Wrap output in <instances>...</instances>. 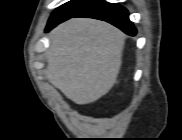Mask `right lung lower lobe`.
I'll use <instances>...</instances> for the list:
<instances>
[{"label":"right lung lower lobe","instance_id":"obj_1","mask_svg":"<svg viewBox=\"0 0 182 140\" xmlns=\"http://www.w3.org/2000/svg\"><path fill=\"white\" fill-rule=\"evenodd\" d=\"M72 17L95 18L107 21L124 31L126 34L132 36L136 34V29L128 18V11L119 4L107 3L104 0H96L70 18ZM58 24L47 26L46 32Z\"/></svg>","mask_w":182,"mask_h":140}]
</instances>
